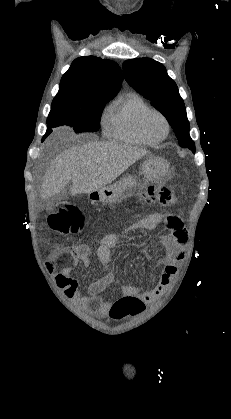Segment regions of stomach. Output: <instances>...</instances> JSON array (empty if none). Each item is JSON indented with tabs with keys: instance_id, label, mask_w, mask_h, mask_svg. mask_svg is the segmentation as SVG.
Masks as SVG:
<instances>
[{
	"instance_id": "1",
	"label": "stomach",
	"mask_w": 231,
	"mask_h": 419,
	"mask_svg": "<svg viewBox=\"0 0 231 419\" xmlns=\"http://www.w3.org/2000/svg\"><path fill=\"white\" fill-rule=\"evenodd\" d=\"M168 168V163L164 158L148 155L144 158L140 169L145 180L161 181L166 177ZM139 184L140 181L137 177L127 175L114 184L90 193L88 197L92 203H116L126 198L131 190Z\"/></svg>"
}]
</instances>
